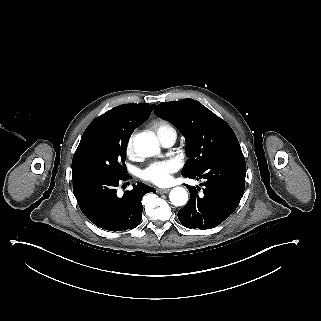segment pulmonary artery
<instances>
[{"mask_svg": "<svg viewBox=\"0 0 321 321\" xmlns=\"http://www.w3.org/2000/svg\"><path fill=\"white\" fill-rule=\"evenodd\" d=\"M176 138H177L176 131H169L167 133L162 134L159 137L161 144L165 147L172 146L175 143Z\"/></svg>", "mask_w": 321, "mask_h": 321, "instance_id": "obj_1", "label": "pulmonary artery"}]
</instances>
